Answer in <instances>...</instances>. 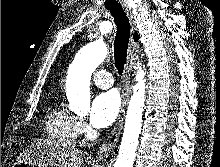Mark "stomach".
Wrapping results in <instances>:
<instances>
[{
	"label": "stomach",
	"instance_id": "1",
	"mask_svg": "<svg viewBox=\"0 0 220 167\" xmlns=\"http://www.w3.org/2000/svg\"><path fill=\"white\" fill-rule=\"evenodd\" d=\"M13 167H35V166L29 164L25 158H22L21 160L16 161Z\"/></svg>",
	"mask_w": 220,
	"mask_h": 167
}]
</instances>
